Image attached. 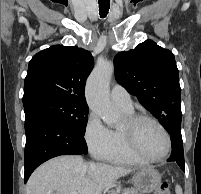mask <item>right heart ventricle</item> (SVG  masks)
<instances>
[{
  "instance_id": "1",
  "label": "right heart ventricle",
  "mask_w": 201,
  "mask_h": 194,
  "mask_svg": "<svg viewBox=\"0 0 201 194\" xmlns=\"http://www.w3.org/2000/svg\"><path fill=\"white\" fill-rule=\"evenodd\" d=\"M126 116L134 115L132 110L121 109ZM113 143L110 150L103 157V159L121 165L141 164L145 161L135 156L127 147L124 135L121 128L112 130Z\"/></svg>"
}]
</instances>
